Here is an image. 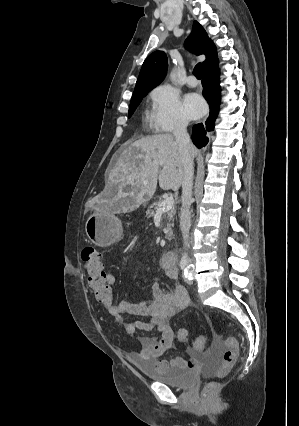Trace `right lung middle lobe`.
<instances>
[{
    "label": "right lung middle lobe",
    "mask_w": 299,
    "mask_h": 426,
    "mask_svg": "<svg viewBox=\"0 0 299 426\" xmlns=\"http://www.w3.org/2000/svg\"><path fill=\"white\" fill-rule=\"evenodd\" d=\"M147 93L148 91H140V92L133 93L131 102H130L128 117H130L133 114V112L135 111L139 103L141 102L142 98Z\"/></svg>",
    "instance_id": "1"
}]
</instances>
